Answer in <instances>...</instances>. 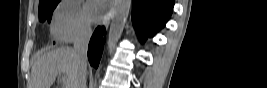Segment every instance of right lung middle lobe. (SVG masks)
Here are the masks:
<instances>
[{
	"mask_svg": "<svg viewBox=\"0 0 267 88\" xmlns=\"http://www.w3.org/2000/svg\"><path fill=\"white\" fill-rule=\"evenodd\" d=\"M60 0H44L39 2V20L44 22L51 21L52 13Z\"/></svg>",
	"mask_w": 267,
	"mask_h": 88,
	"instance_id": "dd1d6c3e",
	"label": "right lung middle lobe"
}]
</instances>
